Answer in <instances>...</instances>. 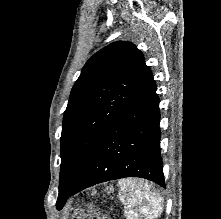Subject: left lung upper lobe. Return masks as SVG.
<instances>
[{"label": "left lung upper lobe", "instance_id": "left-lung-upper-lobe-1", "mask_svg": "<svg viewBox=\"0 0 221 219\" xmlns=\"http://www.w3.org/2000/svg\"><path fill=\"white\" fill-rule=\"evenodd\" d=\"M151 76L142 53L129 42L112 43L87 61L63 117L58 209L66 203L106 130Z\"/></svg>", "mask_w": 221, "mask_h": 219}]
</instances>
